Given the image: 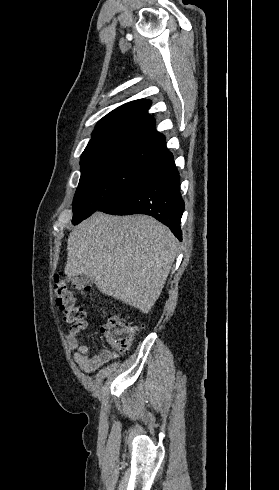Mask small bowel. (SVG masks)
I'll list each match as a JSON object with an SVG mask.
<instances>
[{"instance_id":"obj_1","label":"small bowel","mask_w":279,"mask_h":490,"mask_svg":"<svg viewBox=\"0 0 279 490\" xmlns=\"http://www.w3.org/2000/svg\"><path fill=\"white\" fill-rule=\"evenodd\" d=\"M88 323L86 321H79L71 326L66 334L65 340L68 347L75 350L74 361L85 373H93L98 370L102 365L118 359L121 355L116 352H112L108 349H102L96 355L89 354V347L86 344H82L79 341V334L86 330Z\"/></svg>"}]
</instances>
